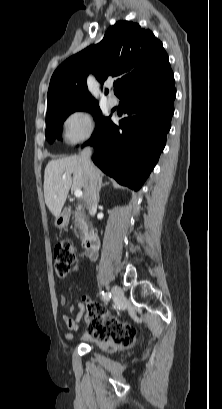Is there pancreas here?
I'll use <instances>...</instances> for the list:
<instances>
[{
  "label": "pancreas",
  "instance_id": "pancreas-1",
  "mask_svg": "<svg viewBox=\"0 0 222 409\" xmlns=\"http://www.w3.org/2000/svg\"><path fill=\"white\" fill-rule=\"evenodd\" d=\"M72 219L74 221L75 227L79 229L81 239H84L88 234L89 225L84 210L80 205L75 208Z\"/></svg>",
  "mask_w": 222,
  "mask_h": 409
}]
</instances>
